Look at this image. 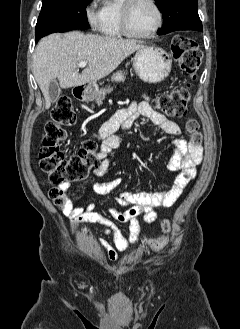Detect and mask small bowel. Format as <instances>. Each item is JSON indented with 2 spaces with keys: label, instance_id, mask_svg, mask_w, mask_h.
Listing matches in <instances>:
<instances>
[{
  "label": "small bowel",
  "instance_id": "obj_1",
  "mask_svg": "<svg viewBox=\"0 0 240 329\" xmlns=\"http://www.w3.org/2000/svg\"><path fill=\"white\" fill-rule=\"evenodd\" d=\"M140 119H146L156 125L160 133L175 137L173 154L168 165L171 170L178 171L172 186L156 192L121 193L115 196L114 200L125 210L119 211L110 207L108 209L110 217L97 212L93 202L85 206H73L69 202L66 205L72 234H76L79 225L83 223L99 224L103 227V234L108 236L110 241L100 239V245L111 262H117L120 254L127 253L137 244L141 234L138 217L142 216L146 224H151L157 217V208L172 206L195 177L197 167L202 161L201 147L194 146L181 138L179 125L154 109L149 97L144 96L142 101L132 102L127 107L117 110L101 128L99 133L101 147L97 153L99 164L93 170L95 177L102 178L108 174L112 164V151L120 145L122 134L130 130ZM121 183L120 178L108 183H94L93 189L100 194H108ZM68 187L69 184L66 183L60 185L59 189L66 190ZM117 223L128 224V237L123 234Z\"/></svg>",
  "mask_w": 240,
  "mask_h": 329
}]
</instances>
